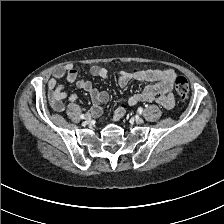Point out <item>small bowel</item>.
Returning <instances> with one entry per match:
<instances>
[{"instance_id": "1", "label": "small bowel", "mask_w": 224, "mask_h": 224, "mask_svg": "<svg viewBox=\"0 0 224 224\" xmlns=\"http://www.w3.org/2000/svg\"><path fill=\"white\" fill-rule=\"evenodd\" d=\"M90 74L105 79L108 76V71L99 65H92L90 67ZM174 77L175 72L170 68L143 70L135 73L123 71L119 75L118 83L121 87L127 86L131 79L151 83L142 91L127 99V104L130 106H134L141 102H152L155 100L162 107L171 109L175 103L171 93ZM61 79H64L67 83H75L79 89L87 92L93 102V107L91 109L92 113L94 115H99L101 113L100 104L106 102L109 98L107 92L98 90L88 80L79 79L78 71L70 65L57 68L53 72V77L48 81L49 99L52 107L56 111H63L64 106L62 101L67 97V92L64 91L63 85L59 83V80ZM76 99V94H71L69 96V101L71 102L76 101ZM123 113L124 110L119 108L115 112L113 120L119 119Z\"/></svg>"}]
</instances>
